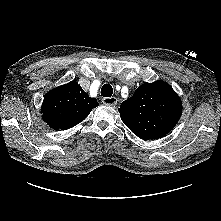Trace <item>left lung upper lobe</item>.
I'll return each mask as SVG.
<instances>
[{
	"label": "left lung upper lobe",
	"mask_w": 221,
	"mask_h": 221,
	"mask_svg": "<svg viewBox=\"0 0 221 221\" xmlns=\"http://www.w3.org/2000/svg\"><path fill=\"white\" fill-rule=\"evenodd\" d=\"M123 123L143 140L169 133L182 113V104L172 87L163 81L144 83L119 108Z\"/></svg>",
	"instance_id": "1"
}]
</instances>
